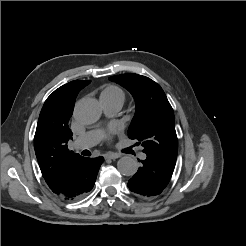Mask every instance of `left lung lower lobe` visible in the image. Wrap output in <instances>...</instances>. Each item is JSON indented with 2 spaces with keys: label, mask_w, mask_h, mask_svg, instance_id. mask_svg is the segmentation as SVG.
<instances>
[{
  "label": "left lung lower lobe",
  "mask_w": 246,
  "mask_h": 246,
  "mask_svg": "<svg viewBox=\"0 0 246 246\" xmlns=\"http://www.w3.org/2000/svg\"><path fill=\"white\" fill-rule=\"evenodd\" d=\"M139 162L142 165L129 180V189L144 199L161 194L170 182L175 167L150 154Z\"/></svg>",
  "instance_id": "0a47b994"
}]
</instances>
